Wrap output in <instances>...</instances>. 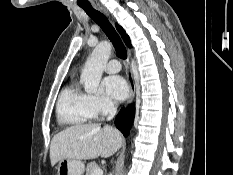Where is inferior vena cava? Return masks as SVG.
<instances>
[{"mask_svg": "<svg viewBox=\"0 0 233 175\" xmlns=\"http://www.w3.org/2000/svg\"><path fill=\"white\" fill-rule=\"evenodd\" d=\"M108 107H109V115L107 117V120L110 121L114 118V116L116 115L117 109L114 106V103L112 101H109L108 103ZM112 175V174H110Z\"/></svg>", "mask_w": 233, "mask_h": 175, "instance_id": "1", "label": "inferior vena cava"}]
</instances>
